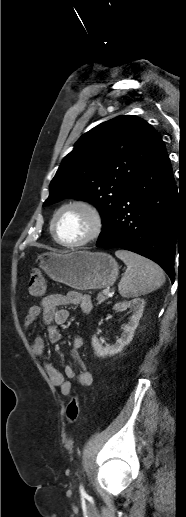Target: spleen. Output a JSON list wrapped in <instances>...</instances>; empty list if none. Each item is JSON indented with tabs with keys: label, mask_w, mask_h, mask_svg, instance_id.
Here are the masks:
<instances>
[{
	"label": "spleen",
	"mask_w": 186,
	"mask_h": 517,
	"mask_svg": "<svg viewBox=\"0 0 186 517\" xmlns=\"http://www.w3.org/2000/svg\"><path fill=\"white\" fill-rule=\"evenodd\" d=\"M115 255L127 265V272L118 285L122 297L148 294L165 282L163 270L154 262L126 250H117Z\"/></svg>",
	"instance_id": "3e777b00"
}]
</instances>
